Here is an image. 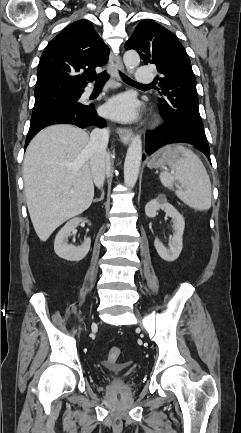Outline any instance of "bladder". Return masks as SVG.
Listing matches in <instances>:
<instances>
[{
	"instance_id": "31cf9c89",
	"label": "bladder",
	"mask_w": 241,
	"mask_h": 433,
	"mask_svg": "<svg viewBox=\"0 0 241 433\" xmlns=\"http://www.w3.org/2000/svg\"><path fill=\"white\" fill-rule=\"evenodd\" d=\"M109 384L110 386H124L126 384V379L123 376H115Z\"/></svg>"
}]
</instances>
